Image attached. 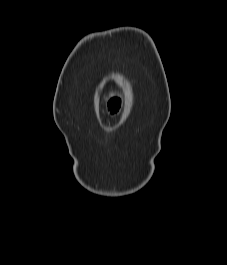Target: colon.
<instances>
[{"mask_svg":"<svg viewBox=\"0 0 227 265\" xmlns=\"http://www.w3.org/2000/svg\"><path fill=\"white\" fill-rule=\"evenodd\" d=\"M119 107V103H118V100L116 98H113L111 101H110V109L112 112H115Z\"/></svg>","mask_w":227,"mask_h":265,"instance_id":"colon-1","label":"colon"}]
</instances>
